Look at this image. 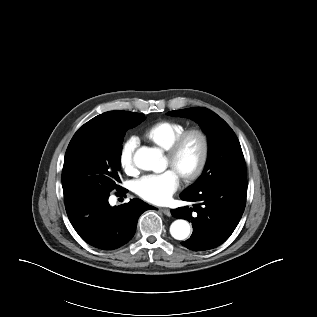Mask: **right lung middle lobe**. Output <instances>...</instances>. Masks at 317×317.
I'll use <instances>...</instances> for the list:
<instances>
[{"mask_svg": "<svg viewBox=\"0 0 317 317\" xmlns=\"http://www.w3.org/2000/svg\"><path fill=\"white\" fill-rule=\"evenodd\" d=\"M143 114L109 111L84 124L67 148L62 171L66 206H84L121 191L120 158L126 131L140 124Z\"/></svg>", "mask_w": 317, "mask_h": 317, "instance_id": "right-lung-middle-lobe-1", "label": "right lung middle lobe"}]
</instances>
